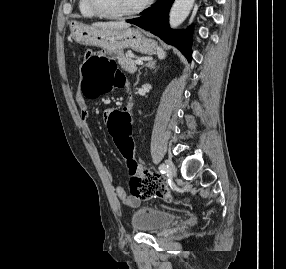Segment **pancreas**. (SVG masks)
Listing matches in <instances>:
<instances>
[{
    "instance_id": "obj_1",
    "label": "pancreas",
    "mask_w": 286,
    "mask_h": 269,
    "mask_svg": "<svg viewBox=\"0 0 286 269\" xmlns=\"http://www.w3.org/2000/svg\"><path fill=\"white\" fill-rule=\"evenodd\" d=\"M118 63L125 71L133 74L137 70L136 63L129 54H122L118 58Z\"/></svg>"
}]
</instances>
